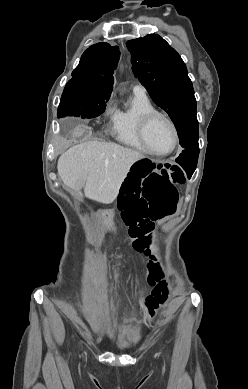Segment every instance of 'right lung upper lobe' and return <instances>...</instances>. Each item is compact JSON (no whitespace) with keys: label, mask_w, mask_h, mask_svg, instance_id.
Segmentation results:
<instances>
[{"label":"right lung upper lobe","mask_w":248,"mask_h":389,"mask_svg":"<svg viewBox=\"0 0 248 389\" xmlns=\"http://www.w3.org/2000/svg\"><path fill=\"white\" fill-rule=\"evenodd\" d=\"M120 51L117 46L97 43L90 46L82 55L79 65L72 72L73 78H81L86 85L112 91L113 73L118 65Z\"/></svg>","instance_id":"cb5924a9"}]
</instances>
